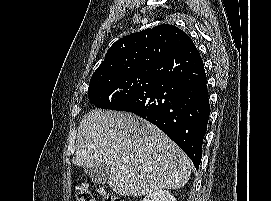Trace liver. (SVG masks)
Wrapping results in <instances>:
<instances>
[{"label": "liver", "mask_w": 271, "mask_h": 201, "mask_svg": "<svg viewBox=\"0 0 271 201\" xmlns=\"http://www.w3.org/2000/svg\"><path fill=\"white\" fill-rule=\"evenodd\" d=\"M75 166L105 163L108 185L123 196L179 189L189 180L191 161L159 128L132 113L95 109L81 121Z\"/></svg>", "instance_id": "liver-1"}]
</instances>
